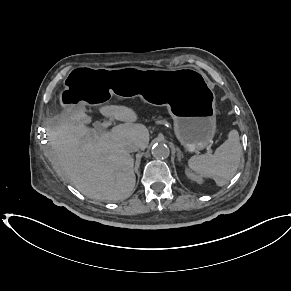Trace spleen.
<instances>
[{"label":"spleen","instance_id":"1","mask_svg":"<svg viewBox=\"0 0 291 291\" xmlns=\"http://www.w3.org/2000/svg\"><path fill=\"white\" fill-rule=\"evenodd\" d=\"M241 157L239 133L234 129L213 155H194L188 160V166L199 177L212 178L218 186H224L236 174Z\"/></svg>","mask_w":291,"mask_h":291}]
</instances>
